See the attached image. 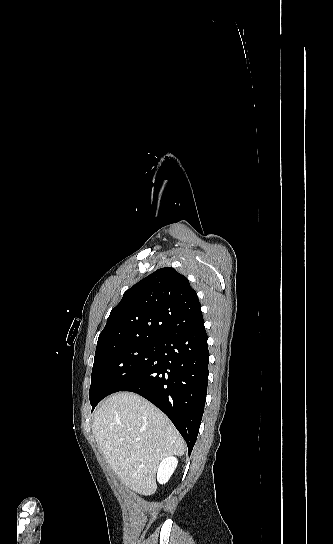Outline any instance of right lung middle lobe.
I'll return each mask as SVG.
<instances>
[{
  "label": "right lung middle lobe",
  "mask_w": 333,
  "mask_h": 544,
  "mask_svg": "<svg viewBox=\"0 0 333 544\" xmlns=\"http://www.w3.org/2000/svg\"><path fill=\"white\" fill-rule=\"evenodd\" d=\"M157 341H138L95 354L89 398L92 410L136 378L152 358Z\"/></svg>",
  "instance_id": "obj_1"
}]
</instances>
